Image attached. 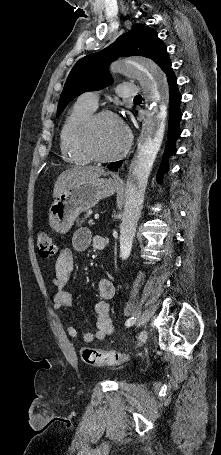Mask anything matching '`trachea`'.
Here are the masks:
<instances>
[{
	"instance_id": "trachea-1",
	"label": "trachea",
	"mask_w": 221,
	"mask_h": 455,
	"mask_svg": "<svg viewBox=\"0 0 221 455\" xmlns=\"http://www.w3.org/2000/svg\"><path fill=\"white\" fill-rule=\"evenodd\" d=\"M134 98L137 99V98H142V97H141V95H137Z\"/></svg>"
}]
</instances>
